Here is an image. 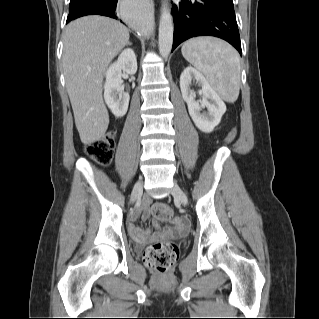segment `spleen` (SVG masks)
I'll return each instance as SVG.
<instances>
[{
    "mask_svg": "<svg viewBox=\"0 0 319 319\" xmlns=\"http://www.w3.org/2000/svg\"><path fill=\"white\" fill-rule=\"evenodd\" d=\"M183 57L201 71L212 89L226 102L237 100L240 90V58L226 42L213 37H196L186 41Z\"/></svg>",
    "mask_w": 319,
    "mask_h": 319,
    "instance_id": "3e777b00",
    "label": "spleen"
}]
</instances>
